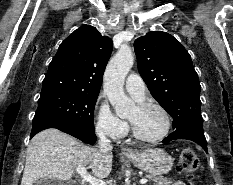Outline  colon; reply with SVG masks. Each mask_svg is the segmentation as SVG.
I'll return each mask as SVG.
<instances>
[{"label":"colon","mask_w":233,"mask_h":185,"mask_svg":"<svg viewBox=\"0 0 233 185\" xmlns=\"http://www.w3.org/2000/svg\"><path fill=\"white\" fill-rule=\"evenodd\" d=\"M198 166V158L192 148H183L180 152L177 171L187 177H190L195 172Z\"/></svg>","instance_id":"1"}]
</instances>
